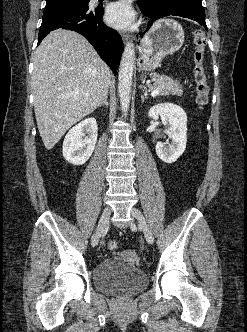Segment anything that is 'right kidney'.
Instances as JSON below:
<instances>
[{
  "label": "right kidney",
  "instance_id": "right-kidney-1",
  "mask_svg": "<svg viewBox=\"0 0 247 332\" xmlns=\"http://www.w3.org/2000/svg\"><path fill=\"white\" fill-rule=\"evenodd\" d=\"M97 136L98 128L94 118L81 121L65 136L62 150L64 158L73 165L85 164L94 151Z\"/></svg>",
  "mask_w": 247,
  "mask_h": 332
}]
</instances>
